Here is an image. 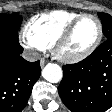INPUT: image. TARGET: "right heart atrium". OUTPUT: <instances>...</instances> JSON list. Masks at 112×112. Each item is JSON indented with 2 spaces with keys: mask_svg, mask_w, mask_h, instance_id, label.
<instances>
[{
  "mask_svg": "<svg viewBox=\"0 0 112 112\" xmlns=\"http://www.w3.org/2000/svg\"><path fill=\"white\" fill-rule=\"evenodd\" d=\"M19 40L23 47L35 54L37 52H42L46 50V46H44L41 42L35 39L27 30V28H23L19 34Z\"/></svg>",
  "mask_w": 112,
  "mask_h": 112,
  "instance_id": "1",
  "label": "right heart atrium"
}]
</instances>
